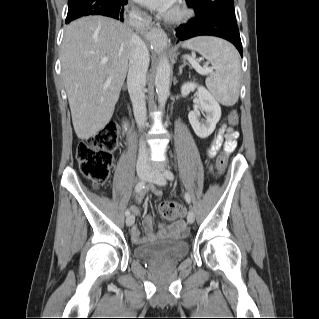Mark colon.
<instances>
[{
    "mask_svg": "<svg viewBox=\"0 0 319 319\" xmlns=\"http://www.w3.org/2000/svg\"><path fill=\"white\" fill-rule=\"evenodd\" d=\"M239 117L236 111L229 114V123L236 127ZM119 129L115 123H107L100 131L81 141L77 146V159L80 171L94 186L104 185L110 172L113 153L117 147ZM220 174L226 170L225 156L220 153L217 158ZM161 215L167 220H177L183 213L180 204L174 200L165 201L159 205Z\"/></svg>",
    "mask_w": 319,
    "mask_h": 319,
    "instance_id": "5ec220e1",
    "label": "colon"
}]
</instances>
